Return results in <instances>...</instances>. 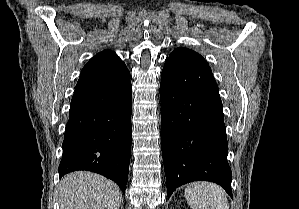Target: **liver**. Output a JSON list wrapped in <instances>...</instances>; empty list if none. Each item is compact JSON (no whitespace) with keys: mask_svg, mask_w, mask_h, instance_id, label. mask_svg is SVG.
Segmentation results:
<instances>
[{"mask_svg":"<svg viewBox=\"0 0 299 209\" xmlns=\"http://www.w3.org/2000/svg\"><path fill=\"white\" fill-rule=\"evenodd\" d=\"M61 209H119L122 192L112 181L95 173L78 171L60 182Z\"/></svg>","mask_w":299,"mask_h":209,"instance_id":"liver-1","label":"liver"}]
</instances>
